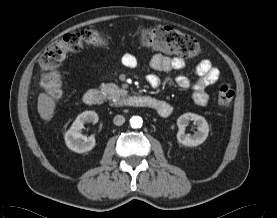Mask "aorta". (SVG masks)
<instances>
[{"instance_id": "1", "label": "aorta", "mask_w": 277, "mask_h": 218, "mask_svg": "<svg viewBox=\"0 0 277 218\" xmlns=\"http://www.w3.org/2000/svg\"><path fill=\"white\" fill-rule=\"evenodd\" d=\"M143 124V120L140 116H133L130 119V125L132 128L136 129V128H141Z\"/></svg>"}]
</instances>
